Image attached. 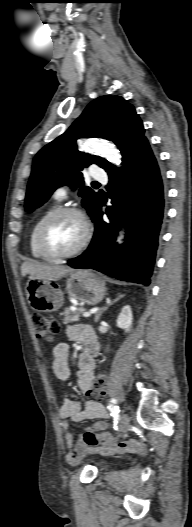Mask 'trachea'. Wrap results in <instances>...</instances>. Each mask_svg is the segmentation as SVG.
Returning a JSON list of instances; mask_svg holds the SVG:
<instances>
[{
  "instance_id": "obj_1",
  "label": "trachea",
  "mask_w": 192,
  "mask_h": 527,
  "mask_svg": "<svg viewBox=\"0 0 192 527\" xmlns=\"http://www.w3.org/2000/svg\"><path fill=\"white\" fill-rule=\"evenodd\" d=\"M94 184H95V185H99V183H97V182H94Z\"/></svg>"
}]
</instances>
